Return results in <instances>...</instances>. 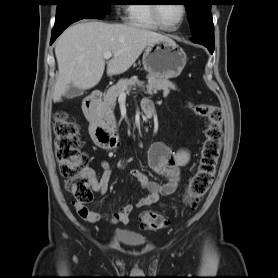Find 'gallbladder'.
I'll return each instance as SVG.
<instances>
[{"label": "gallbladder", "instance_id": "gallbladder-1", "mask_svg": "<svg viewBox=\"0 0 278 278\" xmlns=\"http://www.w3.org/2000/svg\"><path fill=\"white\" fill-rule=\"evenodd\" d=\"M84 92L85 91L83 89H80V88L75 87V86H70L64 96L67 99H72V98L79 97V96L83 95Z\"/></svg>", "mask_w": 278, "mask_h": 278}]
</instances>
